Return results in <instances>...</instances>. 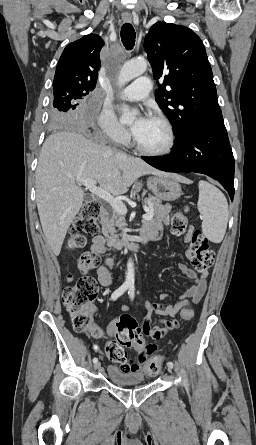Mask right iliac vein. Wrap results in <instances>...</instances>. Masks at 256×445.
<instances>
[{
  "instance_id": "63e3f726",
  "label": "right iliac vein",
  "mask_w": 256,
  "mask_h": 445,
  "mask_svg": "<svg viewBox=\"0 0 256 445\" xmlns=\"http://www.w3.org/2000/svg\"><path fill=\"white\" fill-rule=\"evenodd\" d=\"M101 368V363L99 362V361H97L95 364H94V369L95 370H99Z\"/></svg>"
}]
</instances>
